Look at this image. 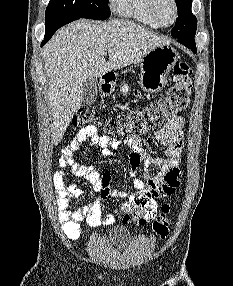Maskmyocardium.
Instances as JSON below:
<instances>
[{"mask_svg": "<svg viewBox=\"0 0 233 286\" xmlns=\"http://www.w3.org/2000/svg\"><path fill=\"white\" fill-rule=\"evenodd\" d=\"M170 1L173 5V8H174V17L170 23L166 24V23L161 22L160 19L158 18L157 11H156L158 0H148L149 12H150L151 16L153 17V19L161 27H169V26L173 25L178 19L179 8H178L177 0H170Z\"/></svg>", "mask_w": 233, "mask_h": 286, "instance_id": "1", "label": "myocardium"}]
</instances>
